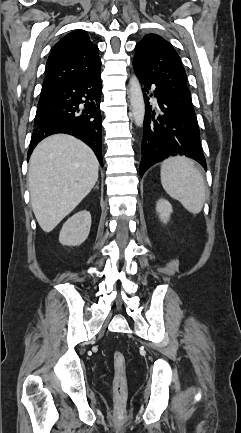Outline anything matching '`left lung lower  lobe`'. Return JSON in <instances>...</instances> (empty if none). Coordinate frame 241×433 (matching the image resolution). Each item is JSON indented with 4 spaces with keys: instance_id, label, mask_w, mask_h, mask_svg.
<instances>
[{
    "instance_id": "left-lung-lower-lobe-1",
    "label": "left lung lower lobe",
    "mask_w": 241,
    "mask_h": 433,
    "mask_svg": "<svg viewBox=\"0 0 241 433\" xmlns=\"http://www.w3.org/2000/svg\"><path fill=\"white\" fill-rule=\"evenodd\" d=\"M136 75L144 85L146 103L140 175L155 163L175 155L190 157L207 169L197 120L162 87L138 73ZM151 88L152 93L149 92ZM152 96L157 100L156 106L150 105Z\"/></svg>"
}]
</instances>
